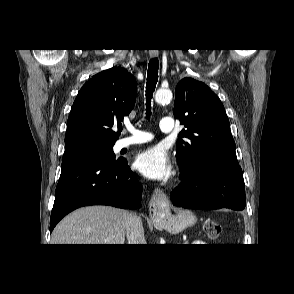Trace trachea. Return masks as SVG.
Here are the masks:
<instances>
[{
    "mask_svg": "<svg viewBox=\"0 0 294 294\" xmlns=\"http://www.w3.org/2000/svg\"><path fill=\"white\" fill-rule=\"evenodd\" d=\"M158 69H159V61L157 58H153L150 60L148 64V72H147V85H146V105H147V116L150 115V102L152 98V94L154 92L155 86L158 81Z\"/></svg>",
    "mask_w": 294,
    "mask_h": 294,
    "instance_id": "3493384b",
    "label": "trachea"
}]
</instances>
